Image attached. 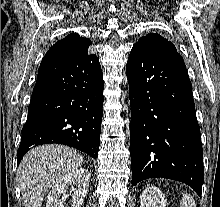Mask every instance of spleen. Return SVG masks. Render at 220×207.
<instances>
[{
    "instance_id": "spleen-1",
    "label": "spleen",
    "mask_w": 220,
    "mask_h": 207,
    "mask_svg": "<svg viewBox=\"0 0 220 207\" xmlns=\"http://www.w3.org/2000/svg\"><path fill=\"white\" fill-rule=\"evenodd\" d=\"M181 207H196L194 198L189 194L183 195Z\"/></svg>"
}]
</instances>
